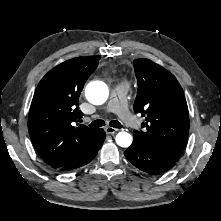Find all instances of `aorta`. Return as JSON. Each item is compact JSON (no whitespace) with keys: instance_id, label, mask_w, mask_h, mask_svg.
I'll return each instance as SVG.
<instances>
[{"instance_id":"obj_1","label":"aorta","mask_w":221,"mask_h":221,"mask_svg":"<svg viewBox=\"0 0 221 221\" xmlns=\"http://www.w3.org/2000/svg\"><path fill=\"white\" fill-rule=\"evenodd\" d=\"M87 100L94 105H101L106 102L109 96V89L104 82L93 81L85 89ZM116 143L121 147H129L132 144V136L127 132H119L116 135Z\"/></svg>"}]
</instances>
